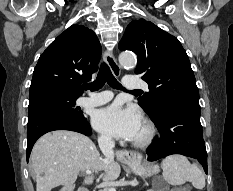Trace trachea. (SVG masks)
I'll return each instance as SVG.
<instances>
[{
  "label": "trachea",
  "mask_w": 233,
  "mask_h": 191,
  "mask_svg": "<svg viewBox=\"0 0 233 191\" xmlns=\"http://www.w3.org/2000/svg\"><path fill=\"white\" fill-rule=\"evenodd\" d=\"M105 82H107L108 85L114 89H123L122 85L113 76L109 66L106 63L101 64L96 80L91 83L83 84V88L85 90L89 89L90 91H97L104 86ZM133 92L140 91L134 90Z\"/></svg>",
  "instance_id": "obj_1"
}]
</instances>
